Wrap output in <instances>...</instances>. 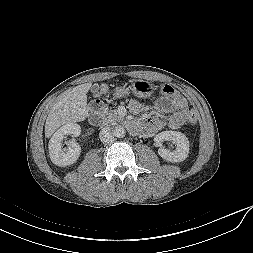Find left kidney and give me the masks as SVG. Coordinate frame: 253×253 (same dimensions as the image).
Masks as SVG:
<instances>
[{
    "instance_id": "obj_1",
    "label": "left kidney",
    "mask_w": 253,
    "mask_h": 253,
    "mask_svg": "<svg viewBox=\"0 0 253 253\" xmlns=\"http://www.w3.org/2000/svg\"><path fill=\"white\" fill-rule=\"evenodd\" d=\"M164 141H172L176 144V149L171 151L163 148ZM154 142L158 149V154L166 161L177 163L184 161L189 154V140L181 132L177 131H163L157 134Z\"/></svg>"
}]
</instances>
